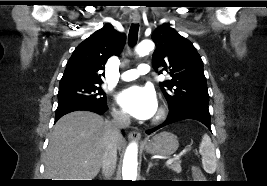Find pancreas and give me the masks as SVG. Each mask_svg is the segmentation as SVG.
Instances as JSON below:
<instances>
[{"label":"pancreas","instance_id":"pancreas-1","mask_svg":"<svg viewBox=\"0 0 267 186\" xmlns=\"http://www.w3.org/2000/svg\"><path fill=\"white\" fill-rule=\"evenodd\" d=\"M169 168L176 173H180L182 171L181 161L175 159L174 162L169 166Z\"/></svg>","mask_w":267,"mask_h":186}]
</instances>
